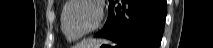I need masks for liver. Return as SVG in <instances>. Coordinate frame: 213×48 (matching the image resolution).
Returning a JSON list of instances; mask_svg holds the SVG:
<instances>
[{
	"label": "liver",
	"instance_id": "obj_1",
	"mask_svg": "<svg viewBox=\"0 0 213 48\" xmlns=\"http://www.w3.org/2000/svg\"><path fill=\"white\" fill-rule=\"evenodd\" d=\"M97 43L95 40H84L82 43H80L79 48H88L92 45Z\"/></svg>",
	"mask_w": 213,
	"mask_h": 48
}]
</instances>
